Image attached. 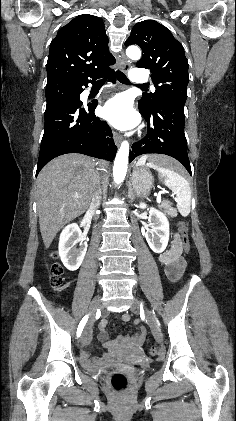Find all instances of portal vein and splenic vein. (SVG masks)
<instances>
[{
	"instance_id": "portal-vein-and-splenic-vein-1",
	"label": "portal vein and splenic vein",
	"mask_w": 236,
	"mask_h": 421,
	"mask_svg": "<svg viewBox=\"0 0 236 421\" xmlns=\"http://www.w3.org/2000/svg\"><path fill=\"white\" fill-rule=\"evenodd\" d=\"M161 194H162V192H158V194H157V202H161ZM166 197H169V194H166ZM170 197L171 198H174L175 197V194L174 193H171L170 194ZM73 198H75V200H77V198H79L78 194H73Z\"/></svg>"
}]
</instances>
